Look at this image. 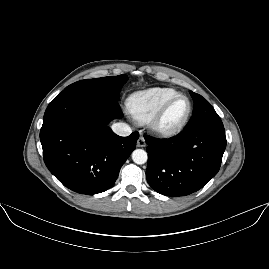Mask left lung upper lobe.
<instances>
[{"instance_id": "5c2ea615", "label": "left lung upper lobe", "mask_w": 269, "mask_h": 269, "mask_svg": "<svg viewBox=\"0 0 269 269\" xmlns=\"http://www.w3.org/2000/svg\"><path fill=\"white\" fill-rule=\"evenodd\" d=\"M194 101V111L185 129L194 128L206 123L220 122L221 119L214 108L201 95L189 91Z\"/></svg>"}]
</instances>
